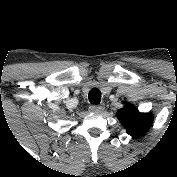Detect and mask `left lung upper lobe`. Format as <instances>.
<instances>
[{
    "label": "left lung upper lobe",
    "instance_id": "1",
    "mask_svg": "<svg viewBox=\"0 0 177 177\" xmlns=\"http://www.w3.org/2000/svg\"><path fill=\"white\" fill-rule=\"evenodd\" d=\"M117 117L127 133L134 138H140L145 135L153 123L152 114L141 113L132 104H128L120 109L117 112Z\"/></svg>",
    "mask_w": 177,
    "mask_h": 177
}]
</instances>
